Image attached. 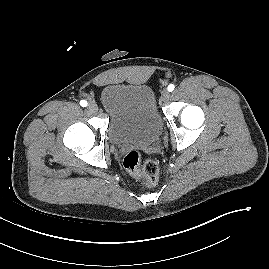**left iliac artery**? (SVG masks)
Returning <instances> with one entry per match:
<instances>
[{
	"label": "left iliac artery",
	"mask_w": 269,
	"mask_h": 269,
	"mask_svg": "<svg viewBox=\"0 0 269 269\" xmlns=\"http://www.w3.org/2000/svg\"><path fill=\"white\" fill-rule=\"evenodd\" d=\"M174 88H175L174 84H170L167 89L169 92H172Z\"/></svg>",
	"instance_id": "44dca946"
}]
</instances>
